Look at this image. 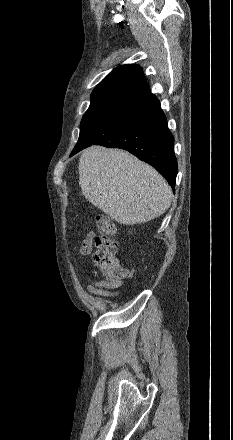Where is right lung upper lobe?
Wrapping results in <instances>:
<instances>
[{
	"instance_id": "1",
	"label": "right lung upper lobe",
	"mask_w": 233,
	"mask_h": 440,
	"mask_svg": "<svg viewBox=\"0 0 233 440\" xmlns=\"http://www.w3.org/2000/svg\"><path fill=\"white\" fill-rule=\"evenodd\" d=\"M149 92V86L139 65H121L108 74L93 90L91 103L115 102L127 104Z\"/></svg>"
}]
</instances>
